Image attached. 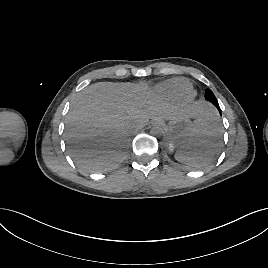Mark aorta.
Here are the masks:
<instances>
[{"instance_id":"762f6f07","label":"aorta","mask_w":268,"mask_h":268,"mask_svg":"<svg viewBox=\"0 0 268 268\" xmlns=\"http://www.w3.org/2000/svg\"><path fill=\"white\" fill-rule=\"evenodd\" d=\"M150 133H151L153 136L160 137V136L164 133V130H163V128L160 127V126H154V127L150 130Z\"/></svg>"}]
</instances>
